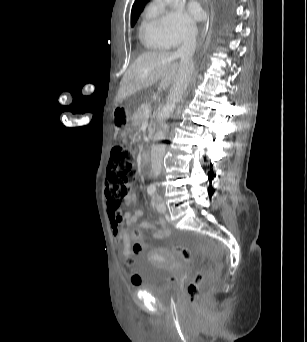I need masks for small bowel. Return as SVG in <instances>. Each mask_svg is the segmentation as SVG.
<instances>
[{"label":"small bowel","mask_w":307,"mask_h":342,"mask_svg":"<svg viewBox=\"0 0 307 342\" xmlns=\"http://www.w3.org/2000/svg\"><path fill=\"white\" fill-rule=\"evenodd\" d=\"M135 201V196L131 195L127 198L128 203H133ZM143 212L141 209L137 208L134 213L125 212L117 214L114 213L111 208L109 209V219L110 226L112 230V238L115 245L122 247V253L124 256L139 253H128L126 241L128 238V229H143L146 231H151V235L155 240L161 241L168 237L169 230L165 225L163 219H160L159 226L156 227L155 224L148 221H141ZM125 222V226L121 227V223Z\"/></svg>","instance_id":"obj_1"}]
</instances>
